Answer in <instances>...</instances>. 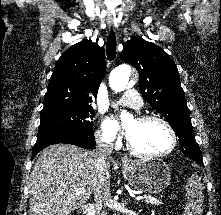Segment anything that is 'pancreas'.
Returning <instances> with one entry per match:
<instances>
[{
	"label": "pancreas",
	"mask_w": 221,
	"mask_h": 215,
	"mask_svg": "<svg viewBox=\"0 0 221 215\" xmlns=\"http://www.w3.org/2000/svg\"><path fill=\"white\" fill-rule=\"evenodd\" d=\"M142 200H144L147 204H152V205H156V206L163 204L162 201H160L159 199L154 198L152 196H145L144 199H142Z\"/></svg>",
	"instance_id": "obj_1"
}]
</instances>
